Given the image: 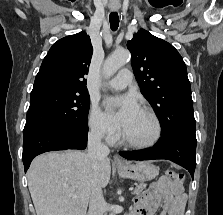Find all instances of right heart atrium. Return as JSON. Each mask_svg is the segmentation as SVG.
<instances>
[{
  "mask_svg": "<svg viewBox=\"0 0 223 215\" xmlns=\"http://www.w3.org/2000/svg\"><path fill=\"white\" fill-rule=\"evenodd\" d=\"M88 126L91 133L98 139L113 140L118 134L115 126L96 104L90 108Z\"/></svg>",
  "mask_w": 223,
  "mask_h": 215,
  "instance_id": "obj_1",
  "label": "right heart atrium"
}]
</instances>
